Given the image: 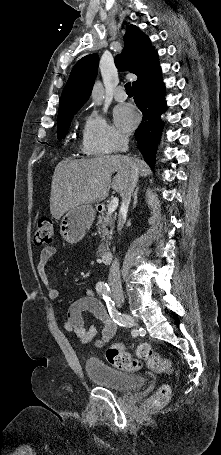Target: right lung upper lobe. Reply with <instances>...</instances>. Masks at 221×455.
Listing matches in <instances>:
<instances>
[{
	"mask_svg": "<svg viewBox=\"0 0 221 455\" xmlns=\"http://www.w3.org/2000/svg\"><path fill=\"white\" fill-rule=\"evenodd\" d=\"M157 56L149 38L135 25H129L124 35L123 51L115 57V65L118 70H128L139 78ZM98 63L97 54L87 55L76 63L63 89L58 115L77 112L88 100L97 75Z\"/></svg>",
	"mask_w": 221,
	"mask_h": 455,
	"instance_id": "right-lung-upper-lobe-1",
	"label": "right lung upper lobe"
}]
</instances>
